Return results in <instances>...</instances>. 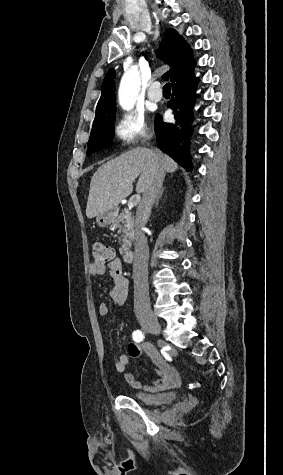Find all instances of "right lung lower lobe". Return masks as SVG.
<instances>
[{
    "label": "right lung lower lobe",
    "instance_id": "right-lung-lower-lobe-1",
    "mask_svg": "<svg viewBox=\"0 0 283 475\" xmlns=\"http://www.w3.org/2000/svg\"><path fill=\"white\" fill-rule=\"evenodd\" d=\"M198 81L199 79L194 77V70L176 79L172 84L171 100L167 104V107L174 110L176 123L163 122L161 116L157 115L155 124L159 148L187 170L193 167L188 149L192 133V107Z\"/></svg>",
    "mask_w": 283,
    "mask_h": 475
}]
</instances>
